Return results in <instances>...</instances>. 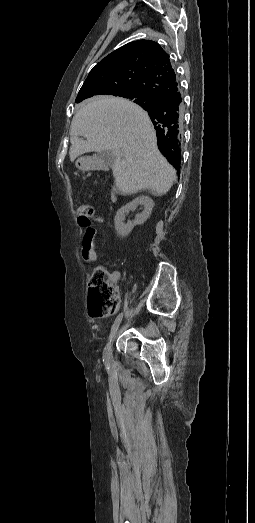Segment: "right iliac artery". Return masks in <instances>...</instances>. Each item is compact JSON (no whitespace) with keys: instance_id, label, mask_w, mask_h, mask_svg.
<instances>
[{"instance_id":"right-iliac-artery-1","label":"right iliac artery","mask_w":255,"mask_h":523,"mask_svg":"<svg viewBox=\"0 0 255 523\" xmlns=\"http://www.w3.org/2000/svg\"><path fill=\"white\" fill-rule=\"evenodd\" d=\"M122 317H123V314L120 313L117 318L115 319V322L114 324L112 325V328H111V333H110V336H109V339L112 338V336L114 335V333L116 332L118 326H119V323L121 322L122 320ZM103 361L106 365H109V357H108V345L107 347H105L104 349V353H103Z\"/></svg>"}]
</instances>
